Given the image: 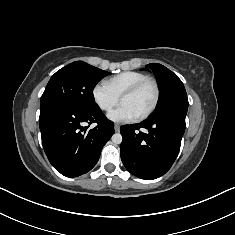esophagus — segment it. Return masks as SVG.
<instances>
[{
    "label": "esophagus",
    "mask_w": 235,
    "mask_h": 235,
    "mask_svg": "<svg viewBox=\"0 0 235 235\" xmlns=\"http://www.w3.org/2000/svg\"><path fill=\"white\" fill-rule=\"evenodd\" d=\"M114 129H115V132H119V130H120V125H119V124H115V125H114Z\"/></svg>",
    "instance_id": "1"
}]
</instances>
